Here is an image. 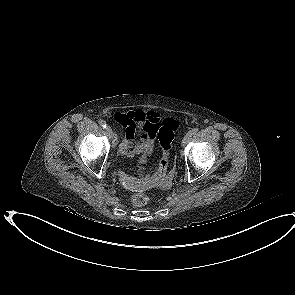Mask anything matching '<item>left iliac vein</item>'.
<instances>
[{"label":"left iliac vein","instance_id":"1","mask_svg":"<svg viewBox=\"0 0 295 295\" xmlns=\"http://www.w3.org/2000/svg\"><path fill=\"white\" fill-rule=\"evenodd\" d=\"M190 139H191V135L187 133L182 139V145L183 146L186 145L190 141Z\"/></svg>","mask_w":295,"mask_h":295}]
</instances>
